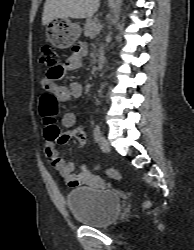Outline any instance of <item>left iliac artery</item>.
Listing matches in <instances>:
<instances>
[{
    "label": "left iliac artery",
    "instance_id": "1",
    "mask_svg": "<svg viewBox=\"0 0 194 250\" xmlns=\"http://www.w3.org/2000/svg\"><path fill=\"white\" fill-rule=\"evenodd\" d=\"M93 134H94V139L95 142H98L100 136H101V129H100V125L96 124L94 130H93Z\"/></svg>",
    "mask_w": 194,
    "mask_h": 250
}]
</instances>
